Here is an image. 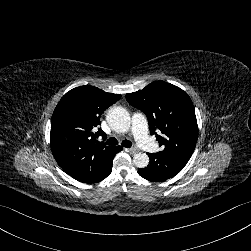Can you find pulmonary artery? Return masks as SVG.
<instances>
[{"label":"pulmonary artery","instance_id":"pulmonary-artery-1","mask_svg":"<svg viewBox=\"0 0 251 251\" xmlns=\"http://www.w3.org/2000/svg\"><path fill=\"white\" fill-rule=\"evenodd\" d=\"M134 134L139 147L143 151L155 153L159 149V144L155 140H151L147 129V118L143 114H137L133 118Z\"/></svg>","mask_w":251,"mask_h":251}]
</instances>
